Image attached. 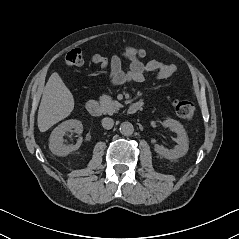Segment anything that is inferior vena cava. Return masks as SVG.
Instances as JSON below:
<instances>
[{
	"label": "inferior vena cava",
	"mask_w": 239,
	"mask_h": 239,
	"mask_svg": "<svg viewBox=\"0 0 239 239\" xmlns=\"http://www.w3.org/2000/svg\"><path fill=\"white\" fill-rule=\"evenodd\" d=\"M114 120L112 118L105 117L102 119V126L103 128L109 130L113 127Z\"/></svg>",
	"instance_id": "inferior-vena-cava-1"
}]
</instances>
